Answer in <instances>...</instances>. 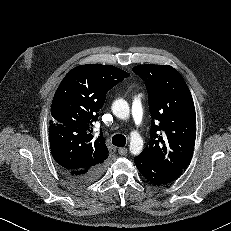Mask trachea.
Instances as JSON below:
<instances>
[{
	"label": "trachea",
	"instance_id": "obj_1",
	"mask_svg": "<svg viewBox=\"0 0 231 231\" xmlns=\"http://www.w3.org/2000/svg\"><path fill=\"white\" fill-rule=\"evenodd\" d=\"M112 143L115 146L123 147L126 144V137L122 134H116L112 137Z\"/></svg>",
	"mask_w": 231,
	"mask_h": 231
}]
</instances>
